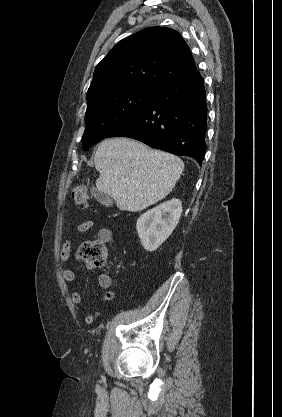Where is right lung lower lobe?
Returning <instances> with one entry per match:
<instances>
[{
	"label": "right lung lower lobe",
	"instance_id": "right-lung-lower-lobe-1",
	"mask_svg": "<svg viewBox=\"0 0 282 417\" xmlns=\"http://www.w3.org/2000/svg\"><path fill=\"white\" fill-rule=\"evenodd\" d=\"M207 129L206 92L195 72L157 90L138 112L106 137H129L175 155L204 158Z\"/></svg>",
	"mask_w": 282,
	"mask_h": 417
}]
</instances>
